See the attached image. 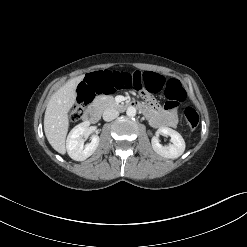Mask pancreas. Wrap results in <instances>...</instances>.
Here are the masks:
<instances>
[{
  "label": "pancreas",
  "instance_id": "obj_1",
  "mask_svg": "<svg viewBox=\"0 0 247 247\" xmlns=\"http://www.w3.org/2000/svg\"><path fill=\"white\" fill-rule=\"evenodd\" d=\"M95 105L97 108L101 109V110H104L108 107H112V106H115L116 103L113 99V97H99L96 102H95Z\"/></svg>",
  "mask_w": 247,
  "mask_h": 247
}]
</instances>
